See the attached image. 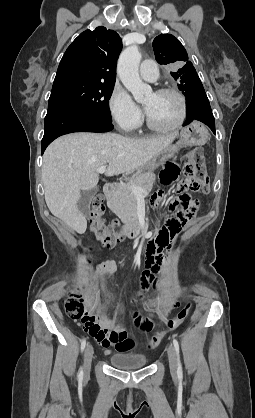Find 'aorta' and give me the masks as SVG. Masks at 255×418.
I'll return each instance as SVG.
<instances>
[{"label": "aorta", "mask_w": 255, "mask_h": 418, "mask_svg": "<svg viewBox=\"0 0 255 418\" xmlns=\"http://www.w3.org/2000/svg\"><path fill=\"white\" fill-rule=\"evenodd\" d=\"M141 54L137 45L127 47L120 55L118 61V74L123 85L132 93L137 102H142L152 93L150 85L143 83L138 68Z\"/></svg>", "instance_id": "aorta-1"}]
</instances>
